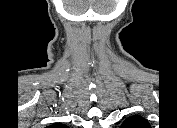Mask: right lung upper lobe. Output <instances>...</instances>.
I'll return each instance as SVG.
<instances>
[{
    "mask_svg": "<svg viewBox=\"0 0 177 128\" xmlns=\"http://www.w3.org/2000/svg\"><path fill=\"white\" fill-rule=\"evenodd\" d=\"M50 127H52V128H65L66 125H63V124H54V125H51Z\"/></svg>",
    "mask_w": 177,
    "mask_h": 128,
    "instance_id": "cb5924a9",
    "label": "right lung upper lobe"
}]
</instances>
